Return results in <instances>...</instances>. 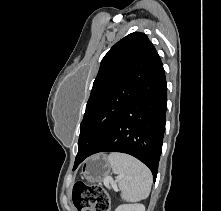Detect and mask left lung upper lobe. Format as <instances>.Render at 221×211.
Wrapping results in <instances>:
<instances>
[{"mask_svg":"<svg viewBox=\"0 0 221 211\" xmlns=\"http://www.w3.org/2000/svg\"><path fill=\"white\" fill-rule=\"evenodd\" d=\"M158 57L148 37L140 32L125 36L104 56L80 124L75 163L107 134L140 90Z\"/></svg>","mask_w":221,"mask_h":211,"instance_id":"1","label":"left lung upper lobe"}]
</instances>
